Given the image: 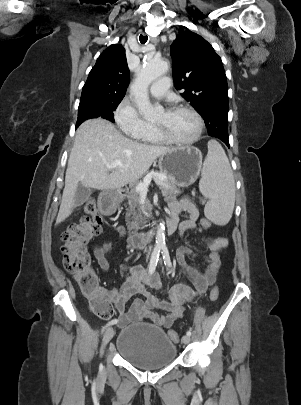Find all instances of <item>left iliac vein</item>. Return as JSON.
<instances>
[{
    "label": "left iliac vein",
    "instance_id": "obj_1",
    "mask_svg": "<svg viewBox=\"0 0 301 405\" xmlns=\"http://www.w3.org/2000/svg\"><path fill=\"white\" fill-rule=\"evenodd\" d=\"M182 342H183L184 344H188V343L190 342V336L184 335V336L182 337Z\"/></svg>",
    "mask_w": 301,
    "mask_h": 405
}]
</instances>
